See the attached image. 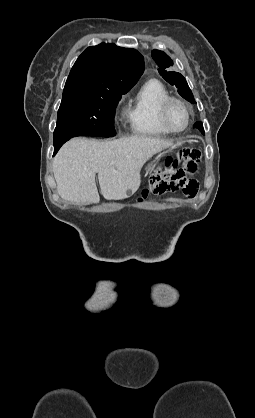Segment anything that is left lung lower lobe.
<instances>
[{
  "label": "left lung lower lobe",
  "instance_id": "obj_1",
  "mask_svg": "<svg viewBox=\"0 0 255 418\" xmlns=\"http://www.w3.org/2000/svg\"><path fill=\"white\" fill-rule=\"evenodd\" d=\"M194 128H198V129H200V128H203V125H202V123H201V122H196V123L194 124Z\"/></svg>",
  "mask_w": 255,
  "mask_h": 418
}]
</instances>
